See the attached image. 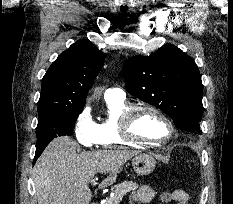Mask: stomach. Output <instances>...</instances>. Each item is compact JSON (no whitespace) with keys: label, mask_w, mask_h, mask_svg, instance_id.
Segmentation results:
<instances>
[{"label":"stomach","mask_w":233,"mask_h":204,"mask_svg":"<svg viewBox=\"0 0 233 204\" xmlns=\"http://www.w3.org/2000/svg\"><path fill=\"white\" fill-rule=\"evenodd\" d=\"M156 165L154 158L148 154H139L132 159L133 170L138 175L150 174Z\"/></svg>","instance_id":"obj_1"}]
</instances>
